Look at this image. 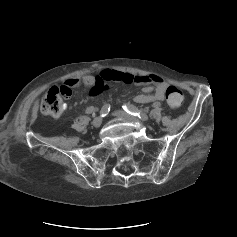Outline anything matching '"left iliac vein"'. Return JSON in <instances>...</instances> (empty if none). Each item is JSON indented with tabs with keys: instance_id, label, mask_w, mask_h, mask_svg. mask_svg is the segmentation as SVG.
Instances as JSON below:
<instances>
[{
	"instance_id": "4c4485c4",
	"label": "left iliac vein",
	"mask_w": 237,
	"mask_h": 237,
	"mask_svg": "<svg viewBox=\"0 0 237 237\" xmlns=\"http://www.w3.org/2000/svg\"><path fill=\"white\" fill-rule=\"evenodd\" d=\"M113 114L116 117H119V118L127 119V120H130V121H133V122H140V123H142L138 118H136V117H134V116H132V115L122 111V110H116Z\"/></svg>"
}]
</instances>
